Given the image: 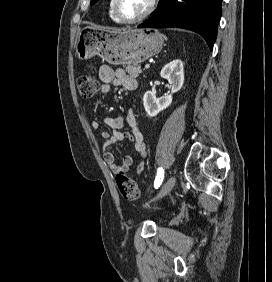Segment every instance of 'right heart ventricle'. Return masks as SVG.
Segmentation results:
<instances>
[{"label": "right heart ventricle", "mask_w": 272, "mask_h": 282, "mask_svg": "<svg viewBox=\"0 0 272 282\" xmlns=\"http://www.w3.org/2000/svg\"><path fill=\"white\" fill-rule=\"evenodd\" d=\"M109 15H110V17H111V19H112L113 21L118 22V23H121V20H119V19L115 16V14H114V12H113V9H112V1H110V4H109Z\"/></svg>", "instance_id": "obj_1"}]
</instances>
